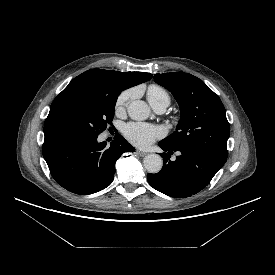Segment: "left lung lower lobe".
<instances>
[{
    "label": "left lung lower lobe",
    "instance_id": "1",
    "mask_svg": "<svg viewBox=\"0 0 275 275\" xmlns=\"http://www.w3.org/2000/svg\"><path fill=\"white\" fill-rule=\"evenodd\" d=\"M164 151L163 168L156 174H147L149 184L167 196L190 197L205 188L227 158L195 148L172 147L162 141L158 144ZM178 151L179 156L171 161L170 155Z\"/></svg>",
    "mask_w": 275,
    "mask_h": 275
}]
</instances>
